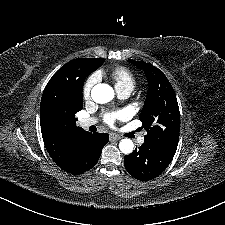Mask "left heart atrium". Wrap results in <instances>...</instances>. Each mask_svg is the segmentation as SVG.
I'll return each instance as SVG.
<instances>
[{"label":"left heart atrium","mask_w":225,"mask_h":225,"mask_svg":"<svg viewBox=\"0 0 225 225\" xmlns=\"http://www.w3.org/2000/svg\"><path fill=\"white\" fill-rule=\"evenodd\" d=\"M127 118V113L123 110H118L104 115L105 122L113 126L117 120L123 121Z\"/></svg>","instance_id":"left-heart-atrium-1"}]
</instances>
